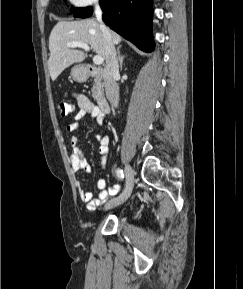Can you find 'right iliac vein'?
Returning a JSON list of instances; mask_svg holds the SVG:
<instances>
[{"instance_id":"63e3f726","label":"right iliac vein","mask_w":243,"mask_h":289,"mask_svg":"<svg viewBox=\"0 0 243 289\" xmlns=\"http://www.w3.org/2000/svg\"><path fill=\"white\" fill-rule=\"evenodd\" d=\"M125 174H126V186L124 191L119 196L109 200L105 205V209H111L123 204L131 195L134 186L135 172L130 165H126Z\"/></svg>"}]
</instances>
